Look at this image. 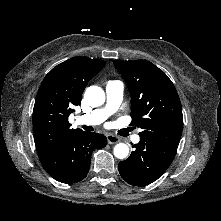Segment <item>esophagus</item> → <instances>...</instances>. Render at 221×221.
I'll use <instances>...</instances> for the list:
<instances>
[{"label":"esophagus","instance_id":"esophagus-1","mask_svg":"<svg viewBox=\"0 0 221 221\" xmlns=\"http://www.w3.org/2000/svg\"><path fill=\"white\" fill-rule=\"evenodd\" d=\"M107 141L109 144H115V143H118L120 141V139H119V137H117L115 135L108 134Z\"/></svg>","mask_w":221,"mask_h":221}]
</instances>
